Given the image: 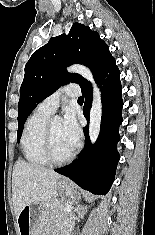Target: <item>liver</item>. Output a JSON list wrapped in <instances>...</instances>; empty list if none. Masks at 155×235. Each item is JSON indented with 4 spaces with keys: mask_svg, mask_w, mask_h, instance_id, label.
<instances>
[{
    "mask_svg": "<svg viewBox=\"0 0 155 235\" xmlns=\"http://www.w3.org/2000/svg\"><path fill=\"white\" fill-rule=\"evenodd\" d=\"M60 178L52 170L17 160L12 174V199L16 219L26 205L45 203L55 198Z\"/></svg>",
    "mask_w": 155,
    "mask_h": 235,
    "instance_id": "6515ba94",
    "label": "liver"
}]
</instances>
